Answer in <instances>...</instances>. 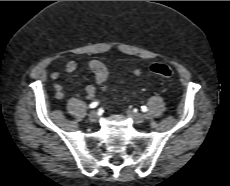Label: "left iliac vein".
Instances as JSON below:
<instances>
[{"mask_svg":"<svg viewBox=\"0 0 230 186\" xmlns=\"http://www.w3.org/2000/svg\"><path fill=\"white\" fill-rule=\"evenodd\" d=\"M127 115L128 117H130L135 123L137 124H141L144 122L145 120V116L143 114H140V113H134L133 111L131 110H128L127 111Z\"/></svg>","mask_w":230,"mask_h":186,"instance_id":"left-iliac-vein-1","label":"left iliac vein"}]
</instances>
